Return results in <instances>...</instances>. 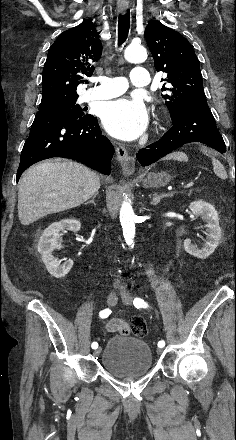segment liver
Masks as SVG:
<instances>
[{"label": "liver", "mask_w": 236, "mask_h": 440, "mask_svg": "<svg viewBox=\"0 0 236 440\" xmlns=\"http://www.w3.org/2000/svg\"><path fill=\"white\" fill-rule=\"evenodd\" d=\"M168 159L187 158L173 153ZM100 189L99 176L72 162H43L28 169L19 181L18 217L30 225L49 214L75 208Z\"/></svg>", "instance_id": "liver-1"}]
</instances>
